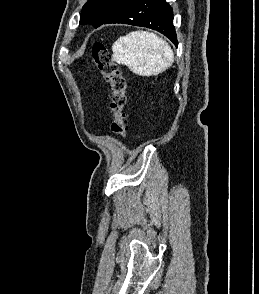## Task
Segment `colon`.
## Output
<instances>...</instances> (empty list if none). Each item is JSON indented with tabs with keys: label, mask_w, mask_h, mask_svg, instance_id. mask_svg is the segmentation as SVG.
I'll use <instances>...</instances> for the list:
<instances>
[{
	"label": "colon",
	"mask_w": 259,
	"mask_h": 294,
	"mask_svg": "<svg viewBox=\"0 0 259 294\" xmlns=\"http://www.w3.org/2000/svg\"><path fill=\"white\" fill-rule=\"evenodd\" d=\"M92 57L97 70L111 87V111L114 118L111 130L120 138H126L128 133V121L125 113V79L114 62L111 53L103 43L97 42L92 46Z\"/></svg>",
	"instance_id": "1"
}]
</instances>
